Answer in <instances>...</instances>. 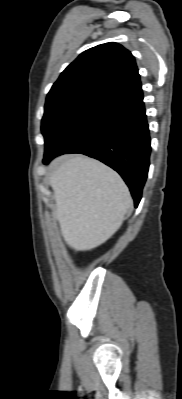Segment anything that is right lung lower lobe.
Here are the masks:
<instances>
[{"instance_id":"1","label":"right lung lower lobe","mask_w":182,"mask_h":399,"mask_svg":"<svg viewBox=\"0 0 182 399\" xmlns=\"http://www.w3.org/2000/svg\"><path fill=\"white\" fill-rule=\"evenodd\" d=\"M151 152L142 88L112 97L67 128L45 151L43 163L81 153L116 170L138 206Z\"/></svg>"}]
</instances>
